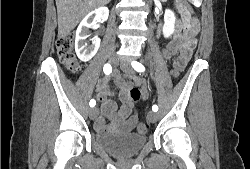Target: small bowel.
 I'll use <instances>...</instances> for the list:
<instances>
[{"instance_id":"1","label":"small bowel","mask_w":250,"mask_h":169,"mask_svg":"<svg viewBox=\"0 0 250 169\" xmlns=\"http://www.w3.org/2000/svg\"><path fill=\"white\" fill-rule=\"evenodd\" d=\"M187 24L188 29L185 34L173 44L166 45L163 49V57L166 60H170L174 57L173 67H181V71L191 58L196 45V41L193 37L199 27V23L195 19L189 18ZM111 81L115 83L118 90V97L122 103L118 111H116L115 104L111 100V96L113 95L109 87ZM134 87L139 88L142 99H146L149 96L150 89L148 83L137 75H129L127 80H125L119 74L114 73L111 76L102 77L98 80L96 100L100 104L105 105L111 113L112 123L109 125V129L128 133L137 126L138 116L135 102L130 98V90ZM94 126L97 132L105 131L106 125L104 118H97Z\"/></svg>"}]
</instances>
